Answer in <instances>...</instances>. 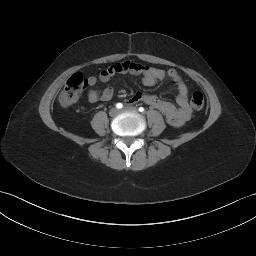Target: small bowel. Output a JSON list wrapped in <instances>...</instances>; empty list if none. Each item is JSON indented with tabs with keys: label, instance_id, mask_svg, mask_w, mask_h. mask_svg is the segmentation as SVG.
Here are the masks:
<instances>
[{
	"label": "small bowel",
	"instance_id": "c3829d8e",
	"mask_svg": "<svg viewBox=\"0 0 256 256\" xmlns=\"http://www.w3.org/2000/svg\"><path fill=\"white\" fill-rule=\"evenodd\" d=\"M119 73H129L134 76H141V81L144 86L150 87L169 78L170 81L177 87L178 93L176 96V104L158 98L155 95L137 92L127 99L128 104H136L143 102L159 110L166 118V120L174 125L180 126L186 122L191 116V110L188 104V88L183 81L181 75L176 69H169L167 71L151 67L138 62H119L103 69L98 78L90 76L88 84L94 87L99 79L101 82H108L113 76ZM114 95L112 87H106L99 91L90 89L87 95L89 103L95 104L99 101H109Z\"/></svg>",
	"mask_w": 256,
	"mask_h": 256
}]
</instances>
